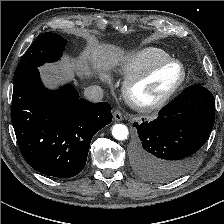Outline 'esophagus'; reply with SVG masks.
Masks as SVG:
<instances>
[{
	"label": "esophagus",
	"mask_w": 224,
	"mask_h": 224,
	"mask_svg": "<svg viewBox=\"0 0 224 224\" xmlns=\"http://www.w3.org/2000/svg\"><path fill=\"white\" fill-rule=\"evenodd\" d=\"M113 116H114L115 121H122L123 120V115L118 110L114 111Z\"/></svg>",
	"instance_id": "34e87169"
}]
</instances>
